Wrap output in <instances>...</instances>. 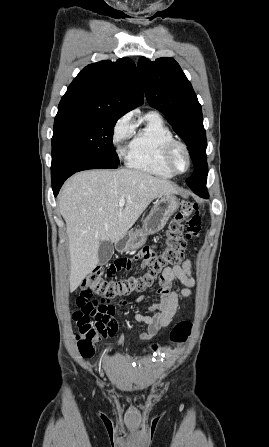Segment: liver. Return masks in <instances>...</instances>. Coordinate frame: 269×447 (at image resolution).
<instances>
[{
  "instance_id": "liver-1",
  "label": "liver",
  "mask_w": 269,
  "mask_h": 447,
  "mask_svg": "<svg viewBox=\"0 0 269 447\" xmlns=\"http://www.w3.org/2000/svg\"><path fill=\"white\" fill-rule=\"evenodd\" d=\"M177 194L175 184L136 170H90L67 180L60 214L69 239L70 291L99 263L101 241H120L152 200ZM119 200H126L123 208Z\"/></svg>"
}]
</instances>
